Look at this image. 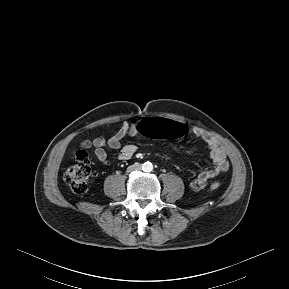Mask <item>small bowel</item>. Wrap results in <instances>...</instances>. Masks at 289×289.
Masks as SVG:
<instances>
[{"label": "small bowel", "mask_w": 289, "mask_h": 289, "mask_svg": "<svg viewBox=\"0 0 289 289\" xmlns=\"http://www.w3.org/2000/svg\"><path fill=\"white\" fill-rule=\"evenodd\" d=\"M163 119V118H159ZM137 123L123 122L120 128L109 139L103 137H97L93 140V146L95 148V156L97 160L103 165L107 164V152L106 147L111 149H120L118 159L125 161L133 157L136 152V147L131 144L123 145L122 141L127 136H134L136 132ZM192 132L195 136L201 138L209 149L210 157L213 160L214 168L210 170H204L200 172L192 181L191 187L194 190L202 189L206 186L207 182L216 177L217 175L226 172L229 169V162L227 155L222 146L210 136L203 129L194 127Z\"/></svg>", "instance_id": "c3829d8e"}]
</instances>
